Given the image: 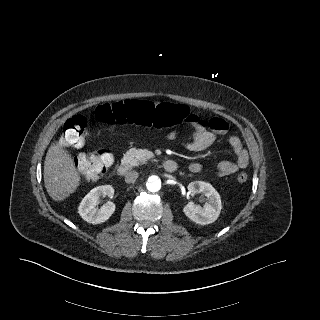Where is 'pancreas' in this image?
I'll list each match as a JSON object with an SVG mask.
<instances>
[{
  "label": "pancreas",
  "instance_id": "1",
  "mask_svg": "<svg viewBox=\"0 0 320 320\" xmlns=\"http://www.w3.org/2000/svg\"><path fill=\"white\" fill-rule=\"evenodd\" d=\"M123 160H125L133 167L145 162L146 158L142 155V153L139 150L131 148L127 150L124 154Z\"/></svg>",
  "mask_w": 320,
  "mask_h": 320
}]
</instances>
